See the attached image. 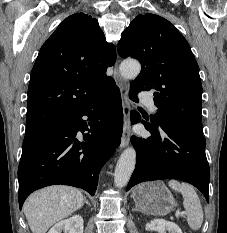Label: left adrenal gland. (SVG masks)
I'll list each match as a JSON object with an SVG mask.
<instances>
[{
  "label": "left adrenal gland",
  "mask_w": 227,
  "mask_h": 233,
  "mask_svg": "<svg viewBox=\"0 0 227 233\" xmlns=\"http://www.w3.org/2000/svg\"><path fill=\"white\" fill-rule=\"evenodd\" d=\"M133 211H138V208H137V207H136V208H134V209H133Z\"/></svg>",
  "instance_id": "a2214340"
}]
</instances>
